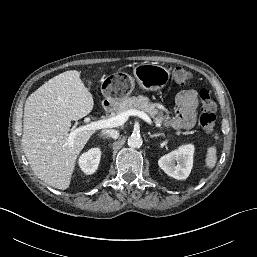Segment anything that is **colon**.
Here are the masks:
<instances>
[{
    "label": "colon",
    "mask_w": 257,
    "mask_h": 257,
    "mask_svg": "<svg viewBox=\"0 0 257 257\" xmlns=\"http://www.w3.org/2000/svg\"><path fill=\"white\" fill-rule=\"evenodd\" d=\"M170 74L173 80L181 85L188 84L192 79V74L182 67L172 68ZM199 96L201 99V115L199 118V123L202 130L205 133L210 134L214 131L217 121L215 104L207 89H201Z\"/></svg>",
    "instance_id": "obj_1"
}]
</instances>
